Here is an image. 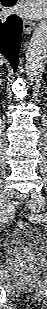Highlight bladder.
I'll return each instance as SVG.
<instances>
[{
  "mask_svg": "<svg viewBox=\"0 0 47 309\" xmlns=\"http://www.w3.org/2000/svg\"><path fill=\"white\" fill-rule=\"evenodd\" d=\"M45 243V236L40 230L24 224L5 237L3 246L11 253H27L42 249Z\"/></svg>",
  "mask_w": 47,
  "mask_h": 309,
  "instance_id": "obj_1",
  "label": "bladder"
}]
</instances>
